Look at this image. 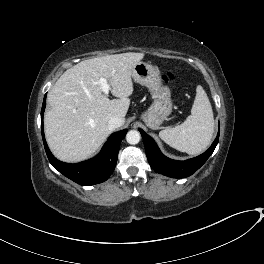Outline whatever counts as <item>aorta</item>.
I'll list each match as a JSON object with an SVG mask.
<instances>
[{
	"label": "aorta",
	"mask_w": 264,
	"mask_h": 264,
	"mask_svg": "<svg viewBox=\"0 0 264 264\" xmlns=\"http://www.w3.org/2000/svg\"><path fill=\"white\" fill-rule=\"evenodd\" d=\"M141 139V135L138 131L136 130H130L127 134H126V141L129 144L135 145L138 144L139 141Z\"/></svg>",
	"instance_id": "aorta-1"
}]
</instances>
